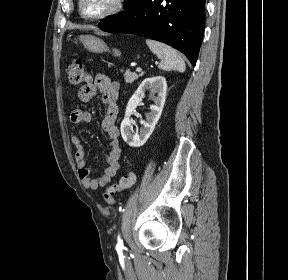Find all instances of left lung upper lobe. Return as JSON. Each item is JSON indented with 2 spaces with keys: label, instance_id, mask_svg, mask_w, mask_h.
Masks as SVG:
<instances>
[{
  "label": "left lung upper lobe",
  "instance_id": "5c2ea615",
  "mask_svg": "<svg viewBox=\"0 0 288 280\" xmlns=\"http://www.w3.org/2000/svg\"><path fill=\"white\" fill-rule=\"evenodd\" d=\"M134 1H135V0H126V1L124 2V9L127 8V7H129L130 5H132Z\"/></svg>",
  "mask_w": 288,
  "mask_h": 280
}]
</instances>
